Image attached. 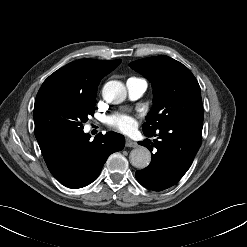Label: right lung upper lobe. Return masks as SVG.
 Listing matches in <instances>:
<instances>
[{
	"mask_svg": "<svg viewBox=\"0 0 247 247\" xmlns=\"http://www.w3.org/2000/svg\"><path fill=\"white\" fill-rule=\"evenodd\" d=\"M121 60L73 61L51 74L42 84L36 102L52 96L69 99H96L101 79L113 71Z\"/></svg>",
	"mask_w": 247,
	"mask_h": 247,
	"instance_id": "cb5924a9",
	"label": "right lung upper lobe"
}]
</instances>
